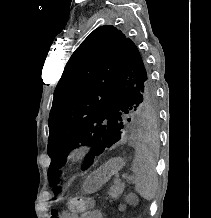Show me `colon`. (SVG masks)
Listing matches in <instances>:
<instances>
[{"mask_svg": "<svg viewBox=\"0 0 211 218\" xmlns=\"http://www.w3.org/2000/svg\"><path fill=\"white\" fill-rule=\"evenodd\" d=\"M88 206H89L88 200L81 197L73 198L69 201V210L74 213L82 212L85 209H87ZM53 218H60V216L55 215Z\"/></svg>", "mask_w": 211, "mask_h": 218, "instance_id": "5ec220e1", "label": "colon"}]
</instances>
